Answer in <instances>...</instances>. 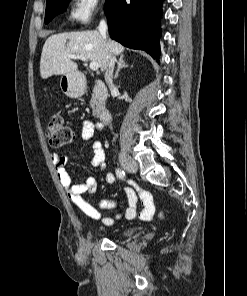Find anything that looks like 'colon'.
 <instances>
[{
    "mask_svg": "<svg viewBox=\"0 0 247 296\" xmlns=\"http://www.w3.org/2000/svg\"><path fill=\"white\" fill-rule=\"evenodd\" d=\"M47 136L53 147L70 144L74 139L73 129L59 115H54L47 126ZM163 217V213L160 214Z\"/></svg>",
    "mask_w": 247,
    "mask_h": 296,
    "instance_id": "colon-1",
    "label": "colon"
}]
</instances>
